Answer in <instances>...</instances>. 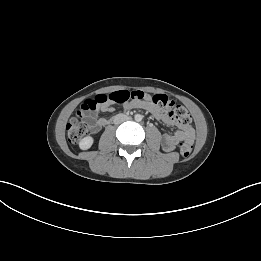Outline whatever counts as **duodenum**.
Wrapping results in <instances>:
<instances>
[{
  "mask_svg": "<svg viewBox=\"0 0 261 261\" xmlns=\"http://www.w3.org/2000/svg\"><path fill=\"white\" fill-rule=\"evenodd\" d=\"M112 121V119H109L108 123H110Z\"/></svg>",
  "mask_w": 261,
  "mask_h": 261,
  "instance_id": "410a0bca",
  "label": "duodenum"
}]
</instances>
